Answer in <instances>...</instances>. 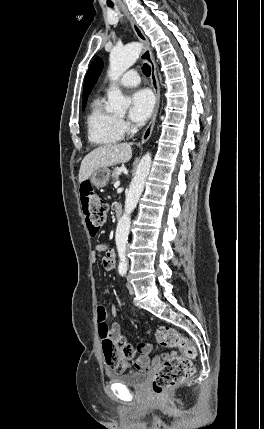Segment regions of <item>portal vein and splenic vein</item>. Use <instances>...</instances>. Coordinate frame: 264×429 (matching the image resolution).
<instances>
[{
  "label": "portal vein and splenic vein",
  "instance_id": "1",
  "mask_svg": "<svg viewBox=\"0 0 264 429\" xmlns=\"http://www.w3.org/2000/svg\"><path fill=\"white\" fill-rule=\"evenodd\" d=\"M120 186V182L119 181H116L115 183H114V187L115 188H118Z\"/></svg>",
  "mask_w": 264,
  "mask_h": 429
}]
</instances>
